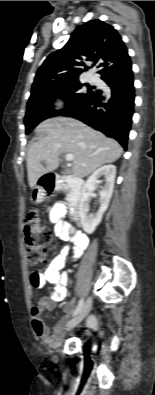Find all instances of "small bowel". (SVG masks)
<instances>
[{
	"mask_svg": "<svg viewBox=\"0 0 155 395\" xmlns=\"http://www.w3.org/2000/svg\"><path fill=\"white\" fill-rule=\"evenodd\" d=\"M66 207L63 203H55L50 210V220L54 223V230L57 237L67 243L61 254L54 258L43 272L42 267H31L30 269V289L32 292H47V283L54 285V290L47 297L39 299L31 309L32 327L36 336L50 347H57L61 343L64 335V327L73 305L68 304L64 308V316L59 321L53 333L46 326L41 313L44 309L52 310L56 303L61 302L66 296V287L69 276L66 272H61L66 263L68 254L74 260L81 257L83 251L88 246V237L76 231L72 226L64 221Z\"/></svg>",
	"mask_w": 155,
	"mask_h": 395,
	"instance_id": "1",
	"label": "small bowel"
}]
</instances>
